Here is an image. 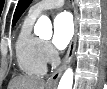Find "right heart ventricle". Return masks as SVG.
<instances>
[{
	"instance_id": "1",
	"label": "right heart ventricle",
	"mask_w": 107,
	"mask_h": 89,
	"mask_svg": "<svg viewBox=\"0 0 107 89\" xmlns=\"http://www.w3.org/2000/svg\"><path fill=\"white\" fill-rule=\"evenodd\" d=\"M35 17L29 14L24 19L15 43L17 64L22 73L29 76H42L46 71L43 55V42L33 34Z\"/></svg>"
}]
</instances>
